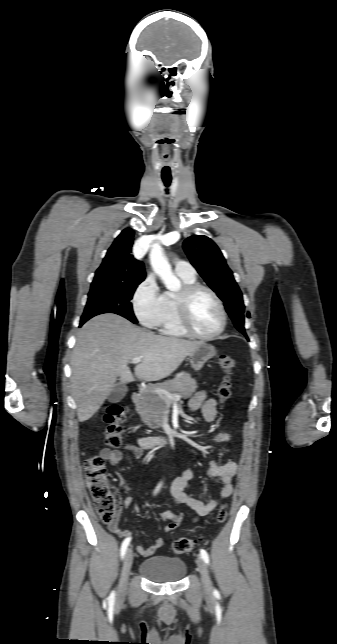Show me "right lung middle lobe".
<instances>
[{"label": "right lung middle lobe", "instance_id": "obj_1", "mask_svg": "<svg viewBox=\"0 0 337 644\" xmlns=\"http://www.w3.org/2000/svg\"><path fill=\"white\" fill-rule=\"evenodd\" d=\"M140 283L91 284L88 301L80 322L84 323L99 314L115 313L137 323L130 300Z\"/></svg>", "mask_w": 337, "mask_h": 644}]
</instances>
